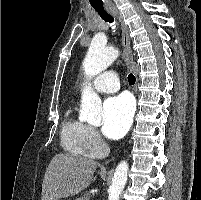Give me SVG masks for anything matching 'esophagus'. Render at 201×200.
Masks as SVG:
<instances>
[{"mask_svg": "<svg viewBox=\"0 0 201 200\" xmlns=\"http://www.w3.org/2000/svg\"><path fill=\"white\" fill-rule=\"evenodd\" d=\"M109 11L118 19L121 27V39H122V46L124 49V56L125 61L129 69L137 76L136 67L133 61V55L130 45V37H129V29L128 26L124 23V19L122 14L117 9L110 8ZM114 159V158H113ZM111 160H107L106 164L109 163Z\"/></svg>", "mask_w": 201, "mask_h": 200, "instance_id": "34e87169", "label": "esophagus"}]
</instances>
